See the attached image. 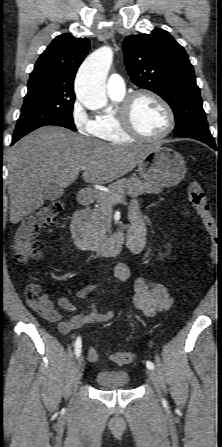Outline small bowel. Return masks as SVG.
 <instances>
[{
    "label": "small bowel",
    "instance_id": "small-bowel-1",
    "mask_svg": "<svg viewBox=\"0 0 222 447\" xmlns=\"http://www.w3.org/2000/svg\"><path fill=\"white\" fill-rule=\"evenodd\" d=\"M129 218L130 220L138 219L141 222V234L138 241L142 244L143 250L145 246V226L140 214V200L131 202ZM130 274L128 265L124 263L115 265L114 276L116 281H125L130 277ZM96 289L97 285L95 283H88L76 292L78 299L89 302L87 310L83 312H79L76 305L67 296H62L57 300V305L63 312L55 308L54 301L46 293L42 294L35 302L28 301L27 304L44 320L57 323L59 332L68 333L85 325L105 323L115 318L112 311L102 312L99 310L98 303L93 299ZM132 303L146 317H152L160 311L168 310L172 306L173 297L164 284L146 277H139L135 280ZM91 353L95 354L94 358L91 357ZM88 359L90 361L97 360V353L94 349H89Z\"/></svg>",
    "mask_w": 222,
    "mask_h": 447
}]
</instances>
